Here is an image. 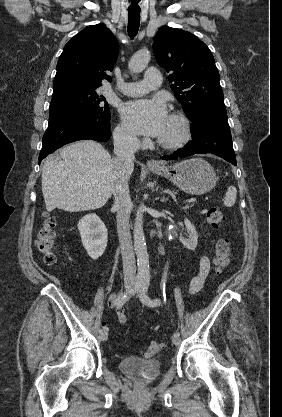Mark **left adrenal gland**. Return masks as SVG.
Instances as JSON below:
<instances>
[{"mask_svg": "<svg viewBox=\"0 0 282 417\" xmlns=\"http://www.w3.org/2000/svg\"><path fill=\"white\" fill-rule=\"evenodd\" d=\"M162 194V192H161ZM158 198H160V196H158ZM165 200H168V198H165V196H163V198H161V202H165Z\"/></svg>", "mask_w": 282, "mask_h": 417, "instance_id": "1", "label": "left adrenal gland"}]
</instances>
